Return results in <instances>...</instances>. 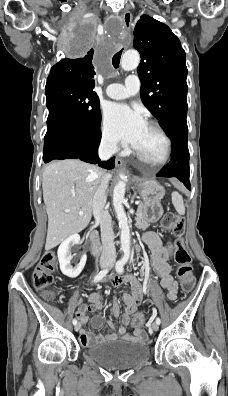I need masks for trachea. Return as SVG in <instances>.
I'll return each instance as SVG.
<instances>
[{"instance_id": "trachea-1", "label": "trachea", "mask_w": 228, "mask_h": 396, "mask_svg": "<svg viewBox=\"0 0 228 396\" xmlns=\"http://www.w3.org/2000/svg\"><path fill=\"white\" fill-rule=\"evenodd\" d=\"M122 51L123 49L117 52L112 58V64L115 68L119 67Z\"/></svg>"}]
</instances>
